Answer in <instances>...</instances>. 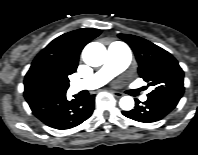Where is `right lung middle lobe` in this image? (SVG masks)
I'll return each instance as SVG.
<instances>
[{
	"label": "right lung middle lobe",
	"instance_id": "dd1d6c3e",
	"mask_svg": "<svg viewBox=\"0 0 198 155\" xmlns=\"http://www.w3.org/2000/svg\"><path fill=\"white\" fill-rule=\"evenodd\" d=\"M67 89H68V86H66L64 89H62L60 93H65Z\"/></svg>",
	"mask_w": 198,
	"mask_h": 155
}]
</instances>
